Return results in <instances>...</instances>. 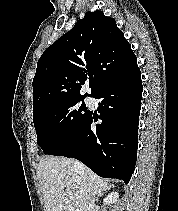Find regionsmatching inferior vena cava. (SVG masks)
I'll return each mask as SVG.
<instances>
[{
  "mask_svg": "<svg viewBox=\"0 0 178 211\" xmlns=\"http://www.w3.org/2000/svg\"><path fill=\"white\" fill-rule=\"evenodd\" d=\"M75 166L78 169H82L83 168V165L80 162H78V161L75 162ZM94 201H95L94 196L93 195H89V197H88V202L89 203H88V207H87L88 211H92L93 206H94Z\"/></svg>",
  "mask_w": 178,
  "mask_h": 211,
  "instance_id": "602c4592",
  "label": "inferior vena cava"
}]
</instances>
